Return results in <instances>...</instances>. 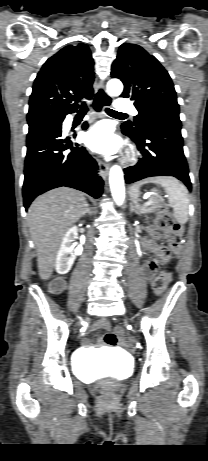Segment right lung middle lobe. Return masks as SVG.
Masks as SVG:
<instances>
[{
  "mask_svg": "<svg viewBox=\"0 0 208 461\" xmlns=\"http://www.w3.org/2000/svg\"><path fill=\"white\" fill-rule=\"evenodd\" d=\"M60 120L61 119H53V118H27L29 132H32L38 129L41 126L54 123V122H58Z\"/></svg>",
  "mask_w": 208,
  "mask_h": 461,
  "instance_id": "obj_1",
  "label": "right lung middle lobe"
}]
</instances>
